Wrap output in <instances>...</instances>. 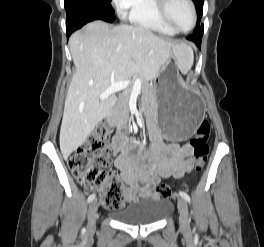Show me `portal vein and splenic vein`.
Wrapping results in <instances>:
<instances>
[{
	"label": "portal vein and splenic vein",
	"instance_id": "1",
	"mask_svg": "<svg viewBox=\"0 0 264 247\" xmlns=\"http://www.w3.org/2000/svg\"><path fill=\"white\" fill-rule=\"evenodd\" d=\"M131 84V81L128 79V80H123V81H119V82H116V83H112L111 86L103 93L100 94V99L101 100H104V99H107L110 95L118 92V91H121V90H124L126 88H128V86ZM141 85H142V80L141 79H136L134 82H133V87L135 89H138L140 90L141 89Z\"/></svg>",
	"mask_w": 264,
	"mask_h": 247
}]
</instances>
